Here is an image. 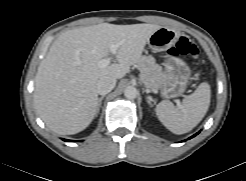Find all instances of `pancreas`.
I'll return each mask as SVG.
<instances>
[{
  "mask_svg": "<svg viewBox=\"0 0 246 181\" xmlns=\"http://www.w3.org/2000/svg\"><path fill=\"white\" fill-rule=\"evenodd\" d=\"M137 68L140 70V78L143 84L152 90L163 81L165 72L162 67L155 62L152 56H143L137 62Z\"/></svg>",
  "mask_w": 246,
  "mask_h": 181,
  "instance_id": "1",
  "label": "pancreas"
}]
</instances>
